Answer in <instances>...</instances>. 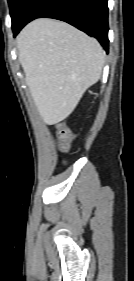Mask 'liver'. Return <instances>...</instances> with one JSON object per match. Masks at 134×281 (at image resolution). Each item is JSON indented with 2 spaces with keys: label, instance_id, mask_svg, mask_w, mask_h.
Here are the masks:
<instances>
[{
  "label": "liver",
  "instance_id": "liver-1",
  "mask_svg": "<svg viewBox=\"0 0 134 281\" xmlns=\"http://www.w3.org/2000/svg\"><path fill=\"white\" fill-rule=\"evenodd\" d=\"M19 61L44 123L67 118L101 77L105 52L99 42L53 19L30 22L17 37Z\"/></svg>",
  "mask_w": 134,
  "mask_h": 281
}]
</instances>
